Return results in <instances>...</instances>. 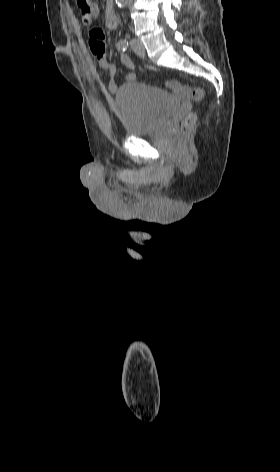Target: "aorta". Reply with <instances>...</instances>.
I'll return each instance as SVG.
<instances>
[{
  "label": "aorta",
  "instance_id": "762f6f07",
  "mask_svg": "<svg viewBox=\"0 0 280 472\" xmlns=\"http://www.w3.org/2000/svg\"><path fill=\"white\" fill-rule=\"evenodd\" d=\"M116 4L119 6V7H123L125 6L128 2H130V0H115Z\"/></svg>",
  "mask_w": 280,
  "mask_h": 472
}]
</instances>
